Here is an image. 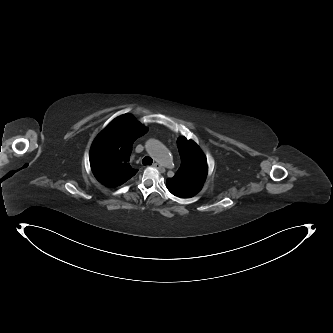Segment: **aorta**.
<instances>
[{"label": "aorta", "instance_id": "1", "mask_svg": "<svg viewBox=\"0 0 333 333\" xmlns=\"http://www.w3.org/2000/svg\"><path fill=\"white\" fill-rule=\"evenodd\" d=\"M146 151L156 160L161 167H168L172 162V157L167 148L156 139H150L145 144Z\"/></svg>", "mask_w": 333, "mask_h": 333}]
</instances>
